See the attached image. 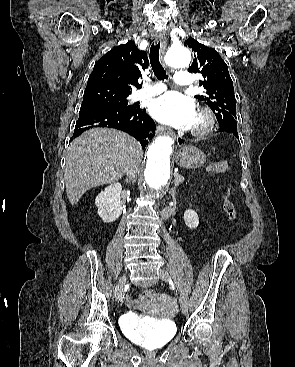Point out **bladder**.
<instances>
[{
    "label": "bladder",
    "instance_id": "31cf9c89",
    "mask_svg": "<svg viewBox=\"0 0 295 367\" xmlns=\"http://www.w3.org/2000/svg\"><path fill=\"white\" fill-rule=\"evenodd\" d=\"M176 334V325L172 321H168V323L163 324L159 328H157L154 339L158 343L165 344L169 342L174 335Z\"/></svg>",
    "mask_w": 295,
    "mask_h": 367
}]
</instances>
